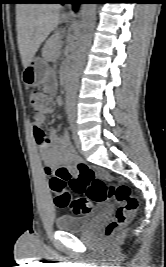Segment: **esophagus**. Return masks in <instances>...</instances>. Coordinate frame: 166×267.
<instances>
[{
    "label": "esophagus",
    "instance_id": "esophagus-1",
    "mask_svg": "<svg viewBox=\"0 0 166 267\" xmlns=\"http://www.w3.org/2000/svg\"><path fill=\"white\" fill-rule=\"evenodd\" d=\"M64 15L68 16V17H76L74 11H73V8H72V5H68L66 7V10L64 11Z\"/></svg>",
    "mask_w": 166,
    "mask_h": 267
}]
</instances>
